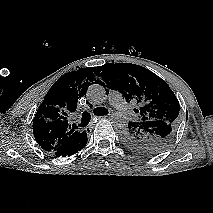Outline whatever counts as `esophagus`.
<instances>
[{"mask_svg":"<svg viewBox=\"0 0 213 213\" xmlns=\"http://www.w3.org/2000/svg\"><path fill=\"white\" fill-rule=\"evenodd\" d=\"M104 118V116H96L94 119L99 120ZM94 121L87 127L88 130H91L94 127Z\"/></svg>","mask_w":213,"mask_h":213,"instance_id":"obj_1","label":"esophagus"}]
</instances>
